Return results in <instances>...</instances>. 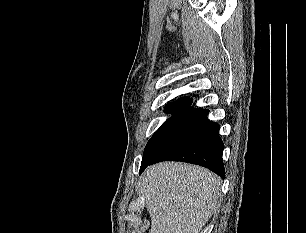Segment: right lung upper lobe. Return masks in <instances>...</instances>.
I'll return each instance as SVG.
<instances>
[{
	"label": "right lung upper lobe",
	"mask_w": 306,
	"mask_h": 233,
	"mask_svg": "<svg viewBox=\"0 0 306 233\" xmlns=\"http://www.w3.org/2000/svg\"><path fill=\"white\" fill-rule=\"evenodd\" d=\"M175 103L191 104V103H192V99H189V98H180V99H178V101L175 102Z\"/></svg>",
	"instance_id": "obj_1"
}]
</instances>
